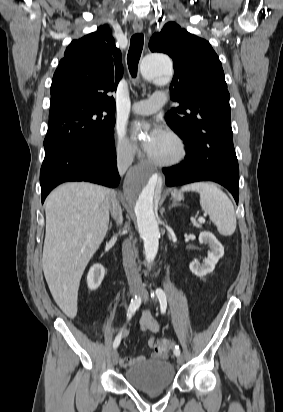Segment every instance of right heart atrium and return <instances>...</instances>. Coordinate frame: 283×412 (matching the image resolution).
Here are the masks:
<instances>
[{
	"instance_id": "right-heart-atrium-1",
	"label": "right heart atrium",
	"mask_w": 283,
	"mask_h": 412,
	"mask_svg": "<svg viewBox=\"0 0 283 412\" xmlns=\"http://www.w3.org/2000/svg\"><path fill=\"white\" fill-rule=\"evenodd\" d=\"M115 151L121 160L132 161L139 153L137 145L117 128L114 135Z\"/></svg>"
}]
</instances>
